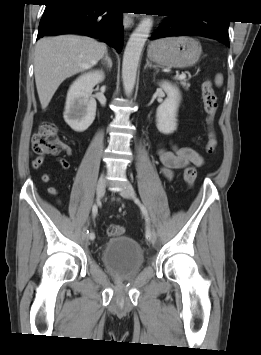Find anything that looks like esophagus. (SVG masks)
<instances>
[{"label":"esophagus","mask_w":261,"mask_h":355,"mask_svg":"<svg viewBox=\"0 0 261 355\" xmlns=\"http://www.w3.org/2000/svg\"><path fill=\"white\" fill-rule=\"evenodd\" d=\"M134 24L132 16L128 13L123 14V25L125 29L131 28Z\"/></svg>","instance_id":"1"}]
</instances>
